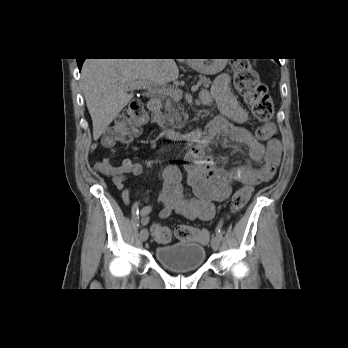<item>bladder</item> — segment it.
Instances as JSON below:
<instances>
[{
	"label": "bladder",
	"mask_w": 348,
	"mask_h": 348,
	"mask_svg": "<svg viewBox=\"0 0 348 348\" xmlns=\"http://www.w3.org/2000/svg\"><path fill=\"white\" fill-rule=\"evenodd\" d=\"M159 263L175 273L192 272L201 267L206 258L205 247L193 241L160 245L155 249Z\"/></svg>",
	"instance_id": "31cf9c89"
}]
</instances>
